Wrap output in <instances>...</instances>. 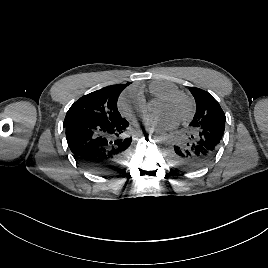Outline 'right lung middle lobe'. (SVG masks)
<instances>
[{
    "instance_id": "1",
    "label": "right lung middle lobe",
    "mask_w": 268,
    "mask_h": 268,
    "mask_svg": "<svg viewBox=\"0 0 268 268\" xmlns=\"http://www.w3.org/2000/svg\"><path fill=\"white\" fill-rule=\"evenodd\" d=\"M124 88L111 85L81 97L68 110L64 126L80 119L105 124L119 121L122 117L118 112L117 100Z\"/></svg>"
}]
</instances>
